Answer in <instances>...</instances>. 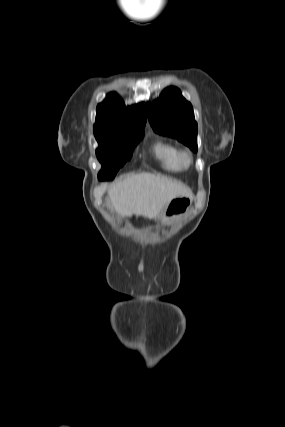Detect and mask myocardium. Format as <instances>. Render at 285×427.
<instances>
[{
  "mask_svg": "<svg viewBox=\"0 0 285 427\" xmlns=\"http://www.w3.org/2000/svg\"><path fill=\"white\" fill-rule=\"evenodd\" d=\"M179 163L183 169L189 168L193 164L192 153L187 149L180 150Z\"/></svg>",
  "mask_w": 285,
  "mask_h": 427,
  "instance_id": "1",
  "label": "myocardium"
}]
</instances>
